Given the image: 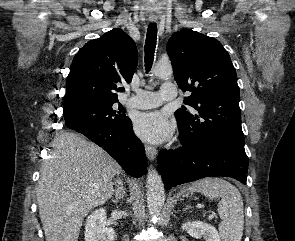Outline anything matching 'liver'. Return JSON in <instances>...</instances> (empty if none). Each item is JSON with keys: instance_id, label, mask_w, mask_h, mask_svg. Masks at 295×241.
Here are the masks:
<instances>
[{"instance_id": "6515ba94", "label": "liver", "mask_w": 295, "mask_h": 241, "mask_svg": "<svg viewBox=\"0 0 295 241\" xmlns=\"http://www.w3.org/2000/svg\"><path fill=\"white\" fill-rule=\"evenodd\" d=\"M36 196L46 241H77L88 212L112 196L120 166L102 148L65 132L52 143Z\"/></svg>"}]
</instances>
